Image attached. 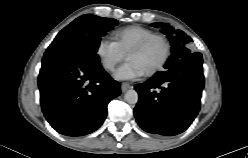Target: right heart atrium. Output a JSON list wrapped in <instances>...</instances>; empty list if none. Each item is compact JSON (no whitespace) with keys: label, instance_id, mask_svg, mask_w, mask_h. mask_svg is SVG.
<instances>
[{"label":"right heart atrium","instance_id":"right-heart-atrium-1","mask_svg":"<svg viewBox=\"0 0 248 158\" xmlns=\"http://www.w3.org/2000/svg\"><path fill=\"white\" fill-rule=\"evenodd\" d=\"M96 54L103 68L107 71H113L125 57V54L116 42L105 37L98 41L96 46Z\"/></svg>","mask_w":248,"mask_h":158}]
</instances>
